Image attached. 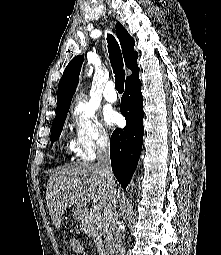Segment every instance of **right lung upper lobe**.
<instances>
[{
    "label": "right lung upper lobe",
    "instance_id": "obj_1",
    "mask_svg": "<svg viewBox=\"0 0 221 255\" xmlns=\"http://www.w3.org/2000/svg\"><path fill=\"white\" fill-rule=\"evenodd\" d=\"M116 34L120 41L125 65L132 71L131 76H133L139 70L136 63L138 53L134 51L135 41L120 22L116 24ZM83 60V56H76L65 68L58 85L56 114L69 110L71 99L79 82V73ZM131 76L127 77V79Z\"/></svg>",
    "mask_w": 221,
    "mask_h": 255
}]
</instances>
